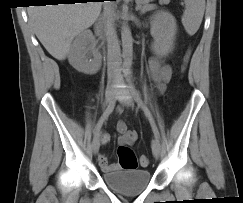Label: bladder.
I'll list each match as a JSON object with an SVG mask.
<instances>
[{
  "label": "bladder",
  "instance_id": "bladder-1",
  "mask_svg": "<svg viewBox=\"0 0 243 203\" xmlns=\"http://www.w3.org/2000/svg\"><path fill=\"white\" fill-rule=\"evenodd\" d=\"M104 183L121 194H134L144 191L151 181L147 169L117 170L102 175Z\"/></svg>",
  "mask_w": 243,
  "mask_h": 203
}]
</instances>
